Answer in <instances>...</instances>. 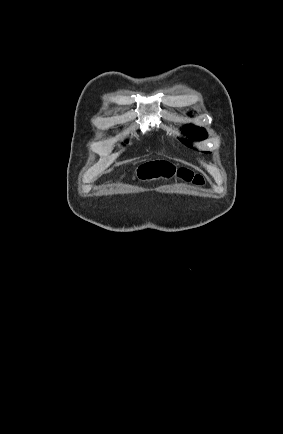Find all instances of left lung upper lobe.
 <instances>
[{
    "label": "left lung upper lobe",
    "instance_id": "5c2ea615",
    "mask_svg": "<svg viewBox=\"0 0 283 434\" xmlns=\"http://www.w3.org/2000/svg\"><path fill=\"white\" fill-rule=\"evenodd\" d=\"M188 137L194 139V140H203L205 138H207V133L205 131L204 128H199L193 125H189L185 128V130L183 131ZM184 143L187 146H190L188 142Z\"/></svg>",
    "mask_w": 283,
    "mask_h": 434
}]
</instances>
